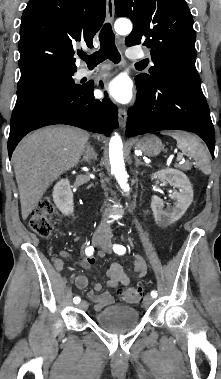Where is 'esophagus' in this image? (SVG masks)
Wrapping results in <instances>:
<instances>
[{
  "label": "esophagus",
  "instance_id": "34e87169",
  "mask_svg": "<svg viewBox=\"0 0 221 379\" xmlns=\"http://www.w3.org/2000/svg\"><path fill=\"white\" fill-rule=\"evenodd\" d=\"M106 13H107L108 22L112 23L114 20V14H115L114 0H107ZM126 121H127V112L125 109L120 108L119 109V125H120V127H122V128L125 127Z\"/></svg>",
  "mask_w": 221,
  "mask_h": 379
}]
</instances>
